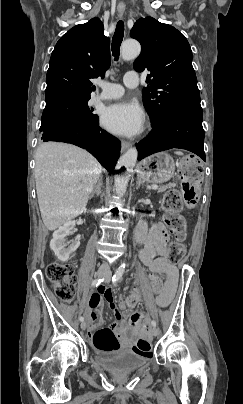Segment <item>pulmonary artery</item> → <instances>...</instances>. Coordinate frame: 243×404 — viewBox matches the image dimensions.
<instances>
[{
    "label": "pulmonary artery",
    "mask_w": 243,
    "mask_h": 404,
    "mask_svg": "<svg viewBox=\"0 0 243 404\" xmlns=\"http://www.w3.org/2000/svg\"><path fill=\"white\" fill-rule=\"evenodd\" d=\"M97 85L101 87L102 92L99 95V99L108 100V99H116L123 95L124 86L129 88H135L140 84V78L137 74L134 73H126L123 77V85L109 83L102 80H97Z\"/></svg>",
    "instance_id": "e3ab8cb5"
}]
</instances>
